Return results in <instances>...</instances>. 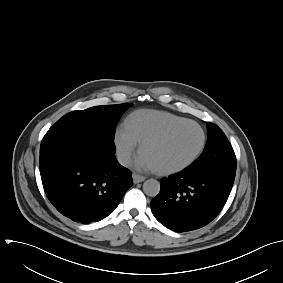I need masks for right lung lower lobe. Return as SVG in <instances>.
Wrapping results in <instances>:
<instances>
[{"label": "right lung lower lobe", "mask_w": 283, "mask_h": 283, "mask_svg": "<svg viewBox=\"0 0 283 283\" xmlns=\"http://www.w3.org/2000/svg\"><path fill=\"white\" fill-rule=\"evenodd\" d=\"M40 173L53 206L82 224L111 214L133 183L108 139H79L41 153Z\"/></svg>", "instance_id": "98d812e1"}]
</instances>
